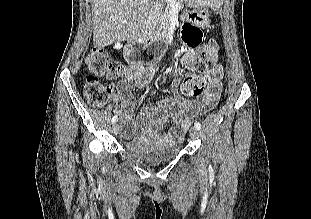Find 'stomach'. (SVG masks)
Masks as SVG:
<instances>
[{"mask_svg": "<svg viewBox=\"0 0 311 219\" xmlns=\"http://www.w3.org/2000/svg\"><path fill=\"white\" fill-rule=\"evenodd\" d=\"M185 3L191 7H194L192 11L184 13L183 17L189 22L194 23L202 28L207 27L210 24L209 12L202 5L200 7L197 6L196 0H184Z\"/></svg>", "mask_w": 311, "mask_h": 219, "instance_id": "stomach-1", "label": "stomach"}]
</instances>
